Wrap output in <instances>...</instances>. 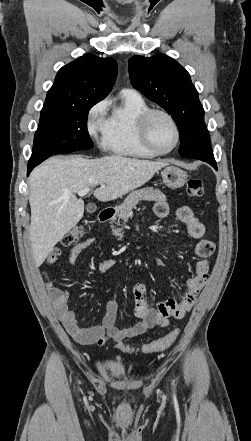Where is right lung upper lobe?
Returning a JSON list of instances; mask_svg holds the SVG:
<instances>
[{
	"mask_svg": "<svg viewBox=\"0 0 251 441\" xmlns=\"http://www.w3.org/2000/svg\"><path fill=\"white\" fill-rule=\"evenodd\" d=\"M117 76V62L92 54L63 66L49 89L45 104H70L90 97L104 99Z\"/></svg>",
	"mask_w": 251,
	"mask_h": 441,
	"instance_id": "obj_1",
	"label": "right lung upper lobe"
}]
</instances>
